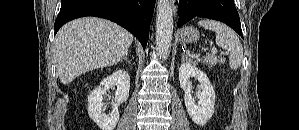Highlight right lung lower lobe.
I'll return each instance as SVG.
<instances>
[{
    "label": "right lung lower lobe",
    "instance_id": "98d812e1",
    "mask_svg": "<svg viewBox=\"0 0 299 130\" xmlns=\"http://www.w3.org/2000/svg\"><path fill=\"white\" fill-rule=\"evenodd\" d=\"M155 0H62L55 33L70 20L96 16L130 31L146 47Z\"/></svg>",
    "mask_w": 299,
    "mask_h": 130
}]
</instances>
